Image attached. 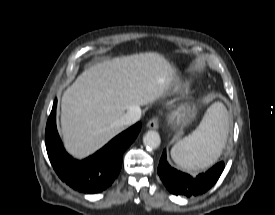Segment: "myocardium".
<instances>
[{
  "label": "myocardium",
  "instance_id": "obj_1",
  "mask_svg": "<svg viewBox=\"0 0 275 215\" xmlns=\"http://www.w3.org/2000/svg\"><path fill=\"white\" fill-rule=\"evenodd\" d=\"M196 116V109L191 105H183L174 114L176 121L181 125H188Z\"/></svg>",
  "mask_w": 275,
  "mask_h": 215
}]
</instances>
